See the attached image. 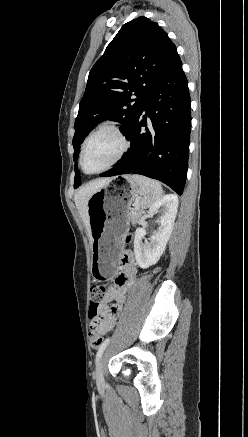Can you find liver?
Listing matches in <instances>:
<instances>
[{
	"label": "liver",
	"instance_id": "6515ba94",
	"mask_svg": "<svg viewBox=\"0 0 248 437\" xmlns=\"http://www.w3.org/2000/svg\"><path fill=\"white\" fill-rule=\"evenodd\" d=\"M109 179L103 178V179H97L92 182H89L83 186H81L74 196V201L76 204V207L79 211V214L82 218V221L84 225L87 228L89 238L91 240V233H90V225H89V216H88V200L90 197L99 190Z\"/></svg>",
	"mask_w": 248,
	"mask_h": 437
}]
</instances>
